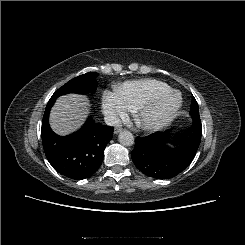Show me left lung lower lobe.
Listing matches in <instances>:
<instances>
[{"label":"left lung lower lobe","instance_id":"1","mask_svg":"<svg viewBox=\"0 0 245 245\" xmlns=\"http://www.w3.org/2000/svg\"><path fill=\"white\" fill-rule=\"evenodd\" d=\"M193 129V135L185 140L170 131L136 138L135 148L131 152L135 166L145 175L156 179L175 177L188 167L200 145L202 129ZM172 138L179 143L178 148L166 145Z\"/></svg>","mask_w":245,"mask_h":245}]
</instances>
